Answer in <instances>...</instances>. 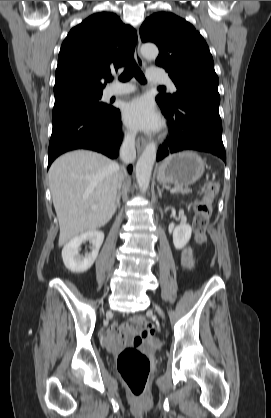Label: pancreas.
I'll return each mask as SVG.
<instances>
[{
	"instance_id": "obj_1",
	"label": "pancreas",
	"mask_w": 271,
	"mask_h": 418,
	"mask_svg": "<svg viewBox=\"0 0 271 418\" xmlns=\"http://www.w3.org/2000/svg\"><path fill=\"white\" fill-rule=\"evenodd\" d=\"M176 188V192L181 193V194H189L191 192V189L188 186H183V185H178L175 186Z\"/></svg>"
}]
</instances>
